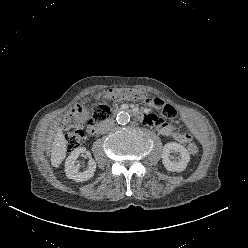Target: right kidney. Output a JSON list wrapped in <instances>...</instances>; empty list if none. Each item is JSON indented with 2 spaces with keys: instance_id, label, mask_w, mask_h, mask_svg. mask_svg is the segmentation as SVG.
Here are the masks:
<instances>
[{
  "instance_id": "obj_1",
  "label": "right kidney",
  "mask_w": 248,
  "mask_h": 248,
  "mask_svg": "<svg viewBox=\"0 0 248 248\" xmlns=\"http://www.w3.org/2000/svg\"><path fill=\"white\" fill-rule=\"evenodd\" d=\"M79 155L88 156L90 158V152L84 147L74 149L71 154L68 156L65 162V173L69 179H72L76 182L87 181L94 176L96 170V162L90 158L88 161V168L86 171H79L78 167L75 165Z\"/></svg>"
}]
</instances>
